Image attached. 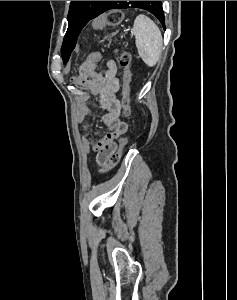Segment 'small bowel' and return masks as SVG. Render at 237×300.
<instances>
[{
  "label": "small bowel",
  "mask_w": 237,
  "mask_h": 300,
  "mask_svg": "<svg viewBox=\"0 0 237 300\" xmlns=\"http://www.w3.org/2000/svg\"><path fill=\"white\" fill-rule=\"evenodd\" d=\"M75 82L87 87L93 94L98 96V103L104 110L101 120L108 133L100 134L94 131L88 132L90 128L91 110L89 107H81L78 112V120L81 122V129L84 131L82 139L87 154L91 149L97 153V162L104 165L110 155L117 148V140L126 133L128 126L120 120L121 104L117 93L120 83L117 77V65L110 60L102 69L96 65L83 64Z\"/></svg>",
  "instance_id": "small-bowel-1"
}]
</instances>
